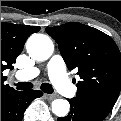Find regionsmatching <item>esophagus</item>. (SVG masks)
<instances>
[{
  "label": "esophagus",
  "mask_w": 121,
  "mask_h": 121,
  "mask_svg": "<svg viewBox=\"0 0 121 121\" xmlns=\"http://www.w3.org/2000/svg\"><path fill=\"white\" fill-rule=\"evenodd\" d=\"M44 96H45L46 99H50V100H52V99H54L56 97L53 94H47V93H45Z\"/></svg>",
  "instance_id": "obj_1"
}]
</instances>
